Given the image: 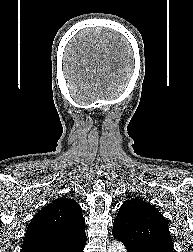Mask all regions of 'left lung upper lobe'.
<instances>
[{
  "label": "left lung upper lobe",
  "mask_w": 193,
  "mask_h": 252,
  "mask_svg": "<svg viewBox=\"0 0 193 252\" xmlns=\"http://www.w3.org/2000/svg\"><path fill=\"white\" fill-rule=\"evenodd\" d=\"M112 234L125 244L128 252L150 248L173 252L167 222L154 206L137 198L122 204Z\"/></svg>",
  "instance_id": "left-lung-upper-lobe-1"
}]
</instances>
